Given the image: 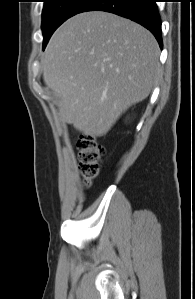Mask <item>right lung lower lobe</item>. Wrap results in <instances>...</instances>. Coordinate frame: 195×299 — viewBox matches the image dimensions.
<instances>
[{
	"mask_svg": "<svg viewBox=\"0 0 195 299\" xmlns=\"http://www.w3.org/2000/svg\"><path fill=\"white\" fill-rule=\"evenodd\" d=\"M106 11L128 18L148 29L162 48L161 19L156 0H89L79 11Z\"/></svg>",
	"mask_w": 195,
	"mask_h": 299,
	"instance_id": "1",
	"label": "right lung lower lobe"
}]
</instances>
